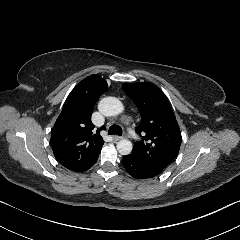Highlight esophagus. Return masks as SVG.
<instances>
[{
    "label": "esophagus",
    "mask_w": 240,
    "mask_h": 240,
    "mask_svg": "<svg viewBox=\"0 0 240 240\" xmlns=\"http://www.w3.org/2000/svg\"><path fill=\"white\" fill-rule=\"evenodd\" d=\"M123 138H124V137H122V136H117V135L113 136L114 141H120V140H122Z\"/></svg>",
    "instance_id": "obj_1"
}]
</instances>
